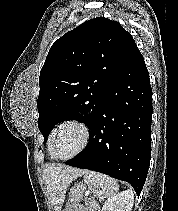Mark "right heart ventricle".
Instances as JSON below:
<instances>
[{"label": "right heart ventricle", "mask_w": 178, "mask_h": 211, "mask_svg": "<svg viewBox=\"0 0 178 211\" xmlns=\"http://www.w3.org/2000/svg\"><path fill=\"white\" fill-rule=\"evenodd\" d=\"M54 129L52 130V133H51V135H50V137L48 139V151H49V155H50L51 158H54V156H53V154L51 152V138H52V134H53Z\"/></svg>", "instance_id": "right-heart-ventricle-1"}]
</instances>
